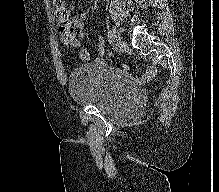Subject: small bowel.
Listing matches in <instances>:
<instances>
[{
    "label": "small bowel",
    "instance_id": "small-bowel-1",
    "mask_svg": "<svg viewBox=\"0 0 219 192\" xmlns=\"http://www.w3.org/2000/svg\"><path fill=\"white\" fill-rule=\"evenodd\" d=\"M72 9V8H70ZM56 16L58 21L61 18H65L68 22V28L66 30H59L61 32L62 42L69 48L78 50L79 57L82 62L89 60V54L86 49L82 46V41L86 37V21L87 13L82 12L77 16L69 18L68 10L62 6L57 8ZM104 58V40L102 37L97 38V56L95 59L96 64H103ZM156 75V68L150 67L143 78L144 81H151Z\"/></svg>",
    "mask_w": 219,
    "mask_h": 192
}]
</instances>
